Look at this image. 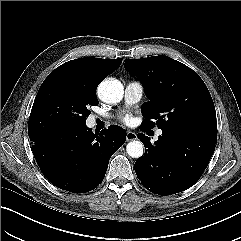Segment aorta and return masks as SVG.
Listing matches in <instances>:
<instances>
[{
	"label": "aorta",
	"mask_w": 241,
	"mask_h": 241,
	"mask_svg": "<svg viewBox=\"0 0 241 241\" xmlns=\"http://www.w3.org/2000/svg\"><path fill=\"white\" fill-rule=\"evenodd\" d=\"M123 85L120 81L109 79L104 80L98 87L100 99L106 103H118L123 97ZM144 146L141 141L133 140L126 146L128 155L132 158H139L143 155Z\"/></svg>",
	"instance_id": "762f6f07"
}]
</instances>
